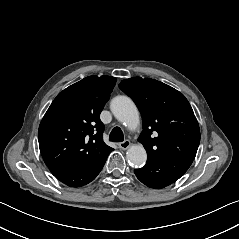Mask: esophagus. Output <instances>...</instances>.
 Returning a JSON list of instances; mask_svg holds the SVG:
<instances>
[{
	"mask_svg": "<svg viewBox=\"0 0 239 239\" xmlns=\"http://www.w3.org/2000/svg\"><path fill=\"white\" fill-rule=\"evenodd\" d=\"M131 143L129 140H125L121 143H119V147L123 150H126L128 147H130Z\"/></svg>",
	"mask_w": 239,
	"mask_h": 239,
	"instance_id": "esophagus-1",
	"label": "esophagus"
}]
</instances>
